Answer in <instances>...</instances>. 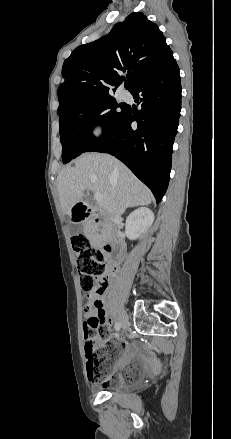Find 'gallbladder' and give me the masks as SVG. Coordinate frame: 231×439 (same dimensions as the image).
Returning a JSON list of instances; mask_svg holds the SVG:
<instances>
[{"instance_id": "obj_1", "label": "gallbladder", "mask_w": 231, "mask_h": 439, "mask_svg": "<svg viewBox=\"0 0 231 439\" xmlns=\"http://www.w3.org/2000/svg\"><path fill=\"white\" fill-rule=\"evenodd\" d=\"M83 201L87 203L88 202V198L85 196L83 198ZM82 229H83L82 225H71L70 226V234L71 235H76V234L80 233L82 231Z\"/></svg>"}]
</instances>
